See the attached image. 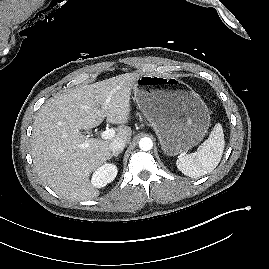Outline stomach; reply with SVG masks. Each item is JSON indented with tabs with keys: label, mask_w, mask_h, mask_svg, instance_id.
Returning <instances> with one entry per match:
<instances>
[{
	"label": "stomach",
	"mask_w": 269,
	"mask_h": 269,
	"mask_svg": "<svg viewBox=\"0 0 269 269\" xmlns=\"http://www.w3.org/2000/svg\"><path fill=\"white\" fill-rule=\"evenodd\" d=\"M133 90L139 109L154 128L167 156L186 152L206 134L209 110L200 96L181 80L142 74Z\"/></svg>",
	"instance_id": "obj_1"
}]
</instances>
